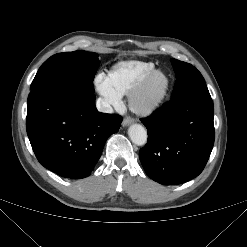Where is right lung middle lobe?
<instances>
[{
	"label": "right lung middle lobe",
	"mask_w": 247,
	"mask_h": 247,
	"mask_svg": "<svg viewBox=\"0 0 247 247\" xmlns=\"http://www.w3.org/2000/svg\"><path fill=\"white\" fill-rule=\"evenodd\" d=\"M98 67L96 53L74 51L55 54L39 68L31 90L47 85H60L94 93L93 79Z\"/></svg>",
	"instance_id": "obj_1"
}]
</instances>
